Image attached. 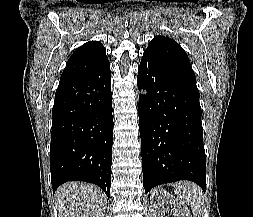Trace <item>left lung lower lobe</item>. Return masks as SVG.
Returning <instances> with one entry per match:
<instances>
[{"label":"left lung lower lobe","mask_w":253,"mask_h":217,"mask_svg":"<svg viewBox=\"0 0 253 217\" xmlns=\"http://www.w3.org/2000/svg\"><path fill=\"white\" fill-rule=\"evenodd\" d=\"M143 186L190 180L206 188V158L199 91L143 55L138 68Z\"/></svg>","instance_id":"obj_1"}]
</instances>
